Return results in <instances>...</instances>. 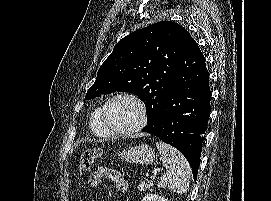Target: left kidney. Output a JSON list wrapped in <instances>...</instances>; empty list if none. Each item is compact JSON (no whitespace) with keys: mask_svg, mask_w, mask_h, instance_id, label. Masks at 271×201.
Returning a JSON list of instances; mask_svg holds the SVG:
<instances>
[{"mask_svg":"<svg viewBox=\"0 0 271 201\" xmlns=\"http://www.w3.org/2000/svg\"><path fill=\"white\" fill-rule=\"evenodd\" d=\"M142 201H168V200L162 196L157 195V194H147L142 199Z\"/></svg>","mask_w":271,"mask_h":201,"instance_id":"1","label":"left kidney"}]
</instances>
